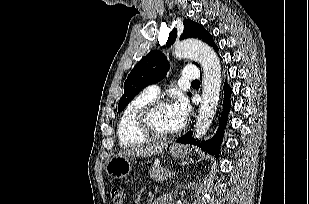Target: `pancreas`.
I'll use <instances>...</instances> for the list:
<instances>
[{
    "label": "pancreas",
    "mask_w": 309,
    "mask_h": 204,
    "mask_svg": "<svg viewBox=\"0 0 309 204\" xmlns=\"http://www.w3.org/2000/svg\"><path fill=\"white\" fill-rule=\"evenodd\" d=\"M150 177L158 182H163L169 176V170L160 165H153L149 170Z\"/></svg>",
    "instance_id": "pancreas-1"
}]
</instances>
